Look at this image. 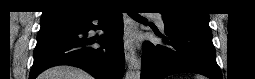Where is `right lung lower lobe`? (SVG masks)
I'll return each mask as SVG.
<instances>
[{
	"mask_svg": "<svg viewBox=\"0 0 255 79\" xmlns=\"http://www.w3.org/2000/svg\"><path fill=\"white\" fill-rule=\"evenodd\" d=\"M109 12L96 11L86 16L72 17L62 22L41 26L34 50V63L29 79L56 65H72L90 73L96 79H120L124 69L123 30L120 15L113 20ZM99 20L105 35L89 37L88 31L98 28ZM95 43L101 44L96 47Z\"/></svg>",
	"mask_w": 255,
	"mask_h": 79,
	"instance_id": "right-lung-lower-lobe-1",
	"label": "right lung lower lobe"
}]
</instances>
